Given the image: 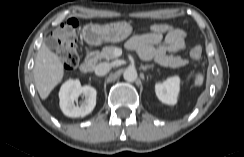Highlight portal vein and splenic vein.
<instances>
[{
  "label": "portal vein and splenic vein",
  "mask_w": 244,
  "mask_h": 157,
  "mask_svg": "<svg viewBox=\"0 0 244 157\" xmlns=\"http://www.w3.org/2000/svg\"><path fill=\"white\" fill-rule=\"evenodd\" d=\"M114 54H115V56L119 57V56L122 55V50L119 49V48H117V49L115 50Z\"/></svg>",
  "instance_id": "18ae733b"
}]
</instances>
